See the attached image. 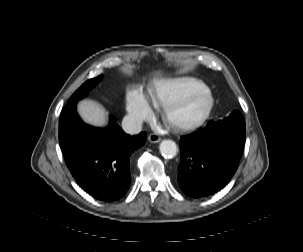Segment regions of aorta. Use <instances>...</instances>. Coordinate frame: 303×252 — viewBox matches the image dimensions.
Returning a JSON list of instances; mask_svg holds the SVG:
<instances>
[{"label":"aorta","mask_w":303,"mask_h":252,"mask_svg":"<svg viewBox=\"0 0 303 252\" xmlns=\"http://www.w3.org/2000/svg\"><path fill=\"white\" fill-rule=\"evenodd\" d=\"M159 150L166 158H173L178 152L177 145L173 140H163L159 145Z\"/></svg>","instance_id":"aorta-1"}]
</instances>
